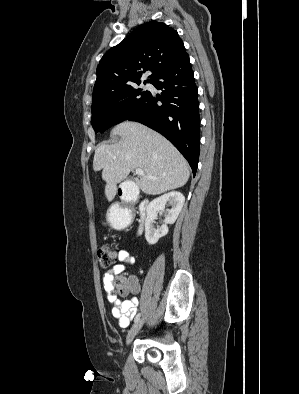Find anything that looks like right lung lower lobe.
Segmentation results:
<instances>
[{
	"label": "right lung lower lobe",
	"instance_id": "obj_1",
	"mask_svg": "<svg viewBox=\"0 0 299 394\" xmlns=\"http://www.w3.org/2000/svg\"><path fill=\"white\" fill-rule=\"evenodd\" d=\"M161 96L149 92L143 104L126 119L140 122L165 136L187 159L195 176L200 145L197 87L186 54L152 82ZM161 101L162 105H157Z\"/></svg>",
	"mask_w": 299,
	"mask_h": 394
}]
</instances>
